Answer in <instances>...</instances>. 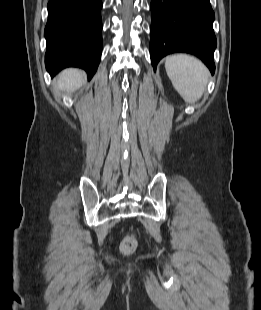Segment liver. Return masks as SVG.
<instances>
[{
	"mask_svg": "<svg viewBox=\"0 0 261 310\" xmlns=\"http://www.w3.org/2000/svg\"><path fill=\"white\" fill-rule=\"evenodd\" d=\"M84 82V74L77 69H67L63 71L56 81V86L60 90L74 92L82 86Z\"/></svg>",
	"mask_w": 261,
	"mask_h": 310,
	"instance_id": "6515ba94",
	"label": "liver"
}]
</instances>
